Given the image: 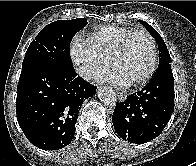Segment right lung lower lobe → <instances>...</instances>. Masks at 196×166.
Segmentation results:
<instances>
[{"mask_svg": "<svg viewBox=\"0 0 196 166\" xmlns=\"http://www.w3.org/2000/svg\"><path fill=\"white\" fill-rule=\"evenodd\" d=\"M97 87L77 76L74 68L37 63L22 68L16 112L27 139L44 150H58L72 141L79 107Z\"/></svg>", "mask_w": 196, "mask_h": 166, "instance_id": "98d812e1", "label": "right lung lower lobe"}]
</instances>
